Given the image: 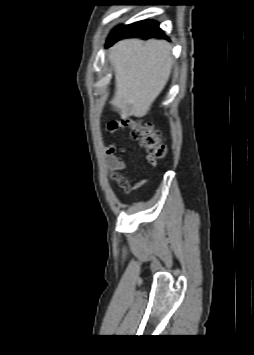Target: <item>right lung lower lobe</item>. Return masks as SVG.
Here are the masks:
<instances>
[{
    "label": "right lung lower lobe",
    "instance_id": "obj_1",
    "mask_svg": "<svg viewBox=\"0 0 254 355\" xmlns=\"http://www.w3.org/2000/svg\"><path fill=\"white\" fill-rule=\"evenodd\" d=\"M138 37L148 39L151 37L167 39L166 35L159 28L158 23L155 21L144 20L133 23L131 25L121 26L115 29L109 36L106 47L111 46L116 41L129 38Z\"/></svg>",
    "mask_w": 254,
    "mask_h": 355
}]
</instances>
